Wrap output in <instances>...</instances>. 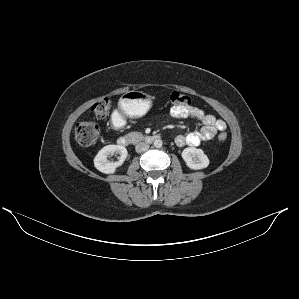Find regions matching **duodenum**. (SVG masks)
Returning a JSON list of instances; mask_svg holds the SVG:
<instances>
[{
	"label": "duodenum",
	"mask_w": 299,
	"mask_h": 299,
	"mask_svg": "<svg viewBox=\"0 0 299 299\" xmlns=\"http://www.w3.org/2000/svg\"><path fill=\"white\" fill-rule=\"evenodd\" d=\"M159 137L157 135H149L143 138V141L146 143H153L155 142ZM132 143V139L129 136H121L118 139V144L121 146H128Z\"/></svg>",
	"instance_id": "obj_1"
}]
</instances>
